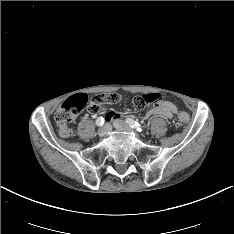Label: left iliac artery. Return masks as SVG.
Instances as JSON below:
<instances>
[{"label":"left iliac artery","mask_w":234,"mask_h":234,"mask_svg":"<svg viewBox=\"0 0 234 234\" xmlns=\"http://www.w3.org/2000/svg\"><path fill=\"white\" fill-rule=\"evenodd\" d=\"M126 122L129 124L130 127L134 128V129L137 130V131H142V130H144V129H142L141 125H140L138 122L134 121V120L131 119V118H127V119H126Z\"/></svg>","instance_id":"left-iliac-artery-1"}]
</instances>
